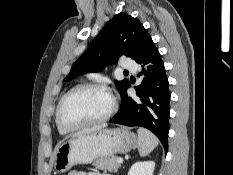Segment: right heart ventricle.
I'll return each instance as SVG.
<instances>
[{
	"label": "right heart ventricle",
	"mask_w": 233,
	"mask_h": 175,
	"mask_svg": "<svg viewBox=\"0 0 233 175\" xmlns=\"http://www.w3.org/2000/svg\"><path fill=\"white\" fill-rule=\"evenodd\" d=\"M55 122H56V119H55ZM56 126H57L58 131H59L61 134L67 133V131L61 129V128L58 126L57 122H56Z\"/></svg>",
	"instance_id": "1"
}]
</instances>
